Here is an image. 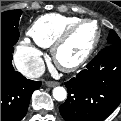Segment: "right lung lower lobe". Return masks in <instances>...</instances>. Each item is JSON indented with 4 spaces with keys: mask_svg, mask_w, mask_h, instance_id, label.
<instances>
[{
    "mask_svg": "<svg viewBox=\"0 0 121 121\" xmlns=\"http://www.w3.org/2000/svg\"><path fill=\"white\" fill-rule=\"evenodd\" d=\"M13 45L1 44V121H20L40 81L26 79L12 66Z\"/></svg>",
    "mask_w": 121,
    "mask_h": 121,
    "instance_id": "98d812e1",
    "label": "right lung lower lobe"
}]
</instances>
